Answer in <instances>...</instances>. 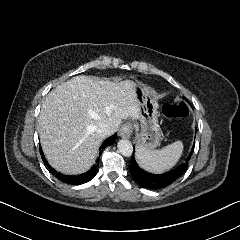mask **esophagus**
I'll return each instance as SVG.
<instances>
[{
	"label": "esophagus",
	"instance_id": "obj_1",
	"mask_svg": "<svg viewBox=\"0 0 240 240\" xmlns=\"http://www.w3.org/2000/svg\"><path fill=\"white\" fill-rule=\"evenodd\" d=\"M133 126L131 123H125L119 129L118 133L121 138H129L132 135Z\"/></svg>",
	"mask_w": 240,
	"mask_h": 240
}]
</instances>
